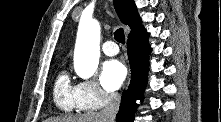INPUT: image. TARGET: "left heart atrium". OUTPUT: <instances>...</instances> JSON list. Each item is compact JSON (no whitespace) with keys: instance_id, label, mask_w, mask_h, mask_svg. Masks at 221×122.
<instances>
[{"instance_id":"1","label":"left heart atrium","mask_w":221,"mask_h":122,"mask_svg":"<svg viewBox=\"0 0 221 122\" xmlns=\"http://www.w3.org/2000/svg\"><path fill=\"white\" fill-rule=\"evenodd\" d=\"M126 75L125 66L120 61L113 59L104 63L100 81L105 89L115 91L121 86Z\"/></svg>"}]
</instances>
